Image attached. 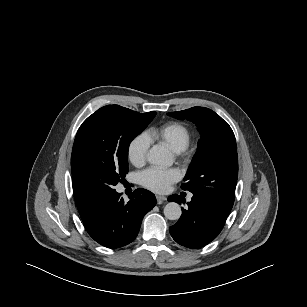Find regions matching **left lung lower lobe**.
Returning a JSON list of instances; mask_svg holds the SVG:
<instances>
[{
    "instance_id": "obj_1",
    "label": "left lung lower lobe",
    "mask_w": 307,
    "mask_h": 307,
    "mask_svg": "<svg viewBox=\"0 0 307 307\" xmlns=\"http://www.w3.org/2000/svg\"><path fill=\"white\" fill-rule=\"evenodd\" d=\"M168 200L185 203L177 194L169 196ZM187 205V209L182 208L183 214L178 222L169 228L170 234L182 246L203 247L220 233L229 213L199 195H193Z\"/></svg>"
}]
</instances>
